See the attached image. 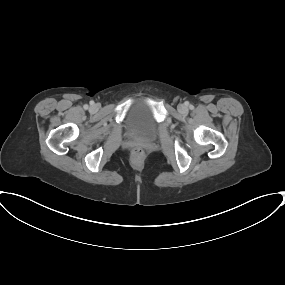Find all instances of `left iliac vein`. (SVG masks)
<instances>
[{"label": "left iliac vein", "instance_id": "1", "mask_svg": "<svg viewBox=\"0 0 285 285\" xmlns=\"http://www.w3.org/2000/svg\"><path fill=\"white\" fill-rule=\"evenodd\" d=\"M178 111H179L180 113H187L188 108H187L184 104H180V105L178 106Z\"/></svg>", "mask_w": 285, "mask_h": 285}]
</instances>
